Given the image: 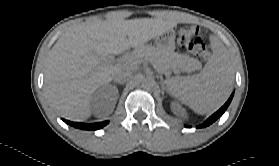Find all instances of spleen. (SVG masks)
<instances>
[{
  "label": "spleen",
  "mask_w": 279,
  "mask_h": 166,
  "mask_svg": "<svg viewBox=\"0 0 279 166\" xmlns=\"http://www.w3.org/2000/svg\"><path fill=\"white\" fill-rule=\"evenodd\" d=\"M211 46L212 57L201 73L165 81L172 96L199 114L220 107L229 97L233 83V69L227 51L215 37L211 38Z\"/></svg>",
  "instance_id": "spleen-1"
}]
</instances>
